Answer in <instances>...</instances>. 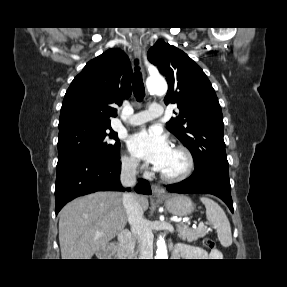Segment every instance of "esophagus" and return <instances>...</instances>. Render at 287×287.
<instances>
[{"label": "esophagus", "instance_id": "1", "mask_svg": "<svg viewBox=\"0 0 287 287\" xmlns=\"http://www.w3.org/2000/svg\"><path fill=\"white\" fill-rule=\"evenodd\" d=\"M132 44H133V49L135 52V57L139 60L140 62V67H141V72L144 74V69L141 65V52H142V44L141 41L138 38H133L132 40ZM151 190L154 196H161L164 195L165 191L164 189L157 185V184H152L151 185Z\"/></svg>", "mask_w": 287, "mask_h": 287}]
</instances>
